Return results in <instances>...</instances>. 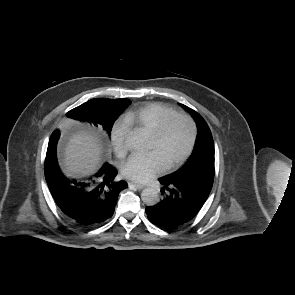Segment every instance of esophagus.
<instances>
[{
    "mask_svg": "<svg viewBox=\"0 0 295 295\" xmlns=\"http://www.w3.org/2000/svg\"><path fill=\"white\" fill-rule=\"evenodd\" d=\"M129 185L134 186L136 189L141 190L144 188V185L138 184L136 182H130Z\"/></svg>",
    "mask_w": 295,
    "mask_h": 295,
    "instance_id": "1",
    "label": "esophagus"
}]
</instances>
